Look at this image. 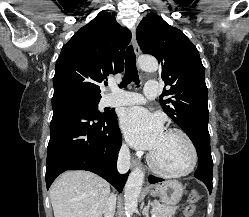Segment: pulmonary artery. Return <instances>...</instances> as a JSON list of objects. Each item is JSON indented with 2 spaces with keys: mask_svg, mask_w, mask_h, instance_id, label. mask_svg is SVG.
<instances>
[{
  "mask_svg": "<svg viewBox=\"0 0 249 217\" xmlns=\"http://www.w3.org/2000/svg\"><path fill=\"white\" fill-rule=\"evenodd\" d=\"M159 94L158 83L154 81L146 82L144 86V95L136 92L129 91H119L115 95L108 99V105L110 106H127L140 104L145 101V99H155Z\"/></svg>",
  "mask_w": 249,
  "mask_h": 217,
  "instance_id": "obj_1",
  "label": "pulmonary artery"
}]
</instances>
